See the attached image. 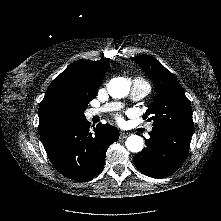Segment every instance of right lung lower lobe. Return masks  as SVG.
I'll use <instances>...</instances> for the list:
<instances>
[{
	"instance_id": "1",
	"label": "right lung lower lobe",
	"mask_w": 221,
	"mask_h": 221,
	"mask_svg": "<svg viewBox=\"0 0 221 221\" xmlns=\"http://www.w3.org/2000/svg\"><path fill=\"white\" fill-rule=\"evenodd\" d=\"M118 138V130L109 124L100 123L91 132L84 117L42 142L57 171L72 180L86 181L102 169L107 148Z\"/></svg>"
}]
</instances>
